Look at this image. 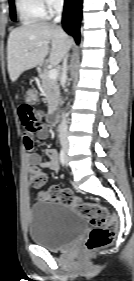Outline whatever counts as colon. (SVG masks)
Wrapping results in <instances>:
<instances>
[{"mask_svg":"<svg viewBox=\"0 0 134 281\" xmlns=\"http://www.w3.org/2000/svg\"><path fill=\"white\" fill-rule=\"evenodd\" d=\"M37 101V91L28 89L25 93V103L35 105ZM30 181L34 187L39 188L45 183V176L39 169H33L30 172ZM41 196L72 206L89 220L92 230L85 241V248L88 251L108 246L113 242L117 231V219L103 205L81 200L71 191L59 187H51Z\"/></svg>","mask_w":134,"mask_h":281,"instance_id":"1","label":"colon"}]
</instances>
